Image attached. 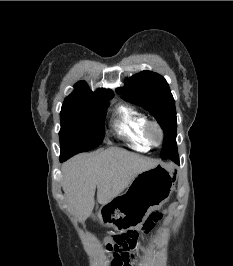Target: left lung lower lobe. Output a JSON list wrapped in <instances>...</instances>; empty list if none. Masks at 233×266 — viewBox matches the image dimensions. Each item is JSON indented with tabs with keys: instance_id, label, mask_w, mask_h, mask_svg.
Segmentation results:
<instances>
[{
	"instance_id": "0a47b994",
	"label": "left lung lower lobe",
	"mask_w": 233,
	"mask_h": 266,
	"mask_svg": "<svg viewBox=\"0 0 233 266\" xmlns=\"http://www.w3.org/2000/svg\"><path fill=\"white\" fill-rule=\"evenodd\" d=\"M169 159H171L172 161H174L176 163H179L177 151H175L172 155H170Z\"/></svg>"
}]
</instances>
